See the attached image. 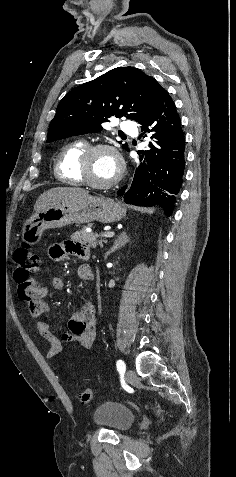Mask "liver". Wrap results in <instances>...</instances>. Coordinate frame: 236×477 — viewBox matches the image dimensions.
Segmentation results:
<instances>
[{
	"label": "liver",
	"instance_id": "liver-1",
	"mask_svg": "<svg viewBox=\"0 0 236 477\" xmlns=\"http://www.w3.org/2000/svg\"><path fill=\"white\" fill-rule=\"evenodd\" d=\"M89 192L82 188L73 187H57L47 190L39 196L34 205L35 212H39L42 208L57 204L70 199L83 197L88 195Z\"/></svg>",
	"mask_w": 236,
	"mask_h": 477
}]
</instances>
